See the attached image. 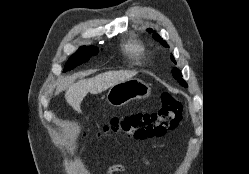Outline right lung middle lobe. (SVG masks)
<instances>
[{
    "label": "right lung middle lobe",
    "mask_w": 249,
    "mask_h": 174,
    "mask_svg": "<svg viewBox=\"0 0 249 174\" xmlns=\"http://www.w3.org/2000/svg\"><path fill=\"white\" fill-rule=\"evenodd\" d=\"M98 53V49L95 47H80L79 50L73 54L70 59L68 60L64 72L69 71L76 67L77 65H80L84 62H86L91 56L96 55Z\"/></svg>",
    "instance_id": "obj_1"
}]
</instances>
